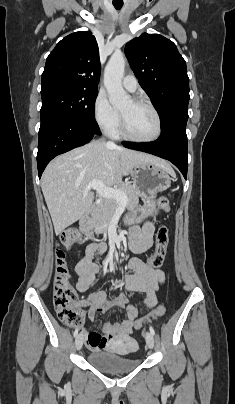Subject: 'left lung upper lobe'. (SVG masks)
<instances>
[{
  "label": "left lung upper lobe",
  "instance_id": "5c2ea615",
  "mask_svg": "<svg viewBox=\"0 0 235 404\" xmlns=\"http://www.w3.org/2000/svg\"><path fill=\"white\" fill-rule=\"evenodd\" d=\"M125 54L161 116L162 132L186 128L189 78L186 62L176 45L159 34L144 33L127 43Z\"/></svg>",
  "mask_w": 235,
  "mask_h": 404
}]
</instances>
